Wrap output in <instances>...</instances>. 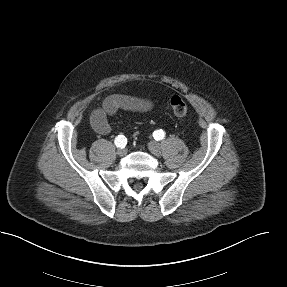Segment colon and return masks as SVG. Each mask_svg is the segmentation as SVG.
Here are the masks:
<instances>
[{
  "label": "colon",
  "instance_id": "1",
  "mask_svg": "<svg viewBox=\"0 0 287 287\" xmlns=\"http://www.w3.org/2000/svg\"><path fill=\"white\" fill-rule=\"evenodd\" d=\"M169 105L172 112L178 117L186 116L188 113L187 103L178 95H174L170 98Z\"/></svg>",
  "mask_w": 287,
  "mask_h": 287
}]
</instances>
